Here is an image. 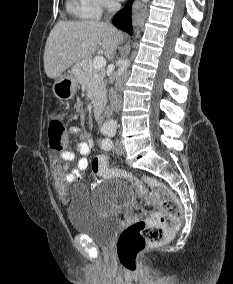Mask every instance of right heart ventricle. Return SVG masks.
<instances>
[{
	"instance_id": "1",
	"label": "right heart ventricle",
	"mask_w": 233,
	"mask_h": 284,
	"mask_svg": "<svg viewBox=\"0 0 233 284\" xmlns=\"http://www.w3.org/2000/svg\"><path fill=\"white\" fill-rule=\"evenodd\" d=\"M68 10L82 20H97L101 16L98 0H68Z\"/></svg>"
}]
</instances>
